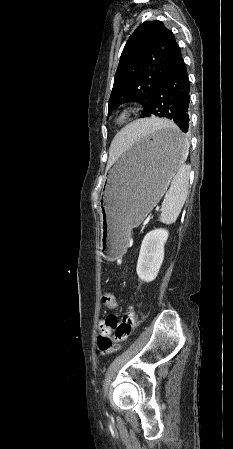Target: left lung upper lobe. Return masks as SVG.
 I'll list each match as a JSON object with an SVG mask.
<instances>
[{"label":"left lung upper lobe","instance_id":"obj_1","mask_svg":"<svg viewBox=\"0 0 233 449\" xmlns=\"http://www.w3.org/2000/svg\"><path fill=\"white\" fill-rule=\"evenodd\" d=\"M181 57L174 34L161 21L142 23L130 36L121 54L108 115L114 108L130 101L140 102L145 115L157 86Z\"/></svg>","mask_w":233,"mask_h":449}]
</instances>
